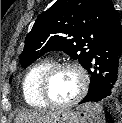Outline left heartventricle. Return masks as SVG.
<instances>
[{
	"label": "left heart ventricle",
	"instance_id": "obj_1",
	"mask_svg": "<svg viewBox=\"0 0 122 123\" xmlns=\"http://www.w3.org/2000/svg\"><path fill=\"white\" fill-rule=\"evenodd\" d=\"M80 85L79 74L71 68H64L57 71L52 77L48 93L55 102H67L76 96Z\"/></svg>",
	"mask_w": 122,
	"mask_h": 123
}]
</instances>
